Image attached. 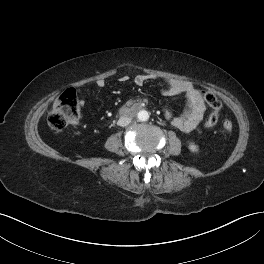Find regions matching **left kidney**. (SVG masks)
I'll return each mask as SVG.
<instances>
[{
	"mask_svg": "<svg viewBox=\"0 0 264 264\" xmlns=\"http://www.w3.org/2000/svg\"><path fill=\"white\" fill-rule=\"evenodd\" d=\"M189 149L192 151V152H196L198 150L197 146L194 145V144H190L189 145Z\"/></svg>",
	"mask_w": 264,
	"mask_h": 264,
	"instance_id": "left-kidney-1",
	"label": "left kidney"
}]
</instances>
